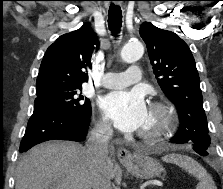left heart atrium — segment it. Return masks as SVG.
I'll return each mask as SVG.
<instances>
[{
  "label": "left heart atrium",
  "mask_w": 223,
  "mask_h": 189,
  "mask_svg": "<svg viewBox=\"0 0 223 189\" xmlns=\"http://www.w3.org/2000/svg\"><path fill=\"white\" fill-rule=\"evenodd\" d=\"M100 107L106 118L123 132L142 128L148 116L144 95L139 90L111 92L101 99Z\"/></svg>",
  "instance_id": "1"
}]
</instances>
